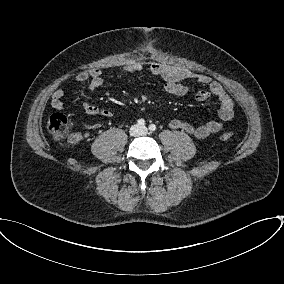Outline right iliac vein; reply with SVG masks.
Listing matches in <instances>:
<instances>
[{
    "mask_svg": "<svg viewBox=\"0 0 284 284\" xmlns=\"http://www.w3.org/2000/svg\"><path fill=\"white\" fill-rule=\"evenodd\" d=\"M139 127L137 125H134L132 128H131V132L133 134H137L139 132Z\"/></svg>",
    "mask_w": 284,
    "mask_h": 284,
    "instance_id": "obj_1",
    "label": "right iliac vein"
}]
</instances>
